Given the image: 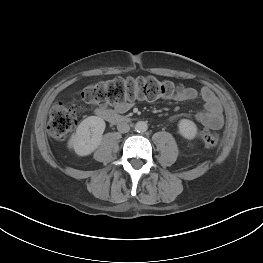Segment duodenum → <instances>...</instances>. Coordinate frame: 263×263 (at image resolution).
<instances>
[{"mask_svg": "<svg viewBox=\"0 0 263 263\" xmlns=\"http://www.w3.org/2000/svg\"><path fill=\"white\" fill-rule=\"evenodd\" d=\"M100 116L113 123H123L127 121L126 117L111 111H103Z\"/></svg>", "mask_w": 263, "mask_h": 263, "instance_id": "duodenum-1", "label": "duodenum"}]
</instances>
